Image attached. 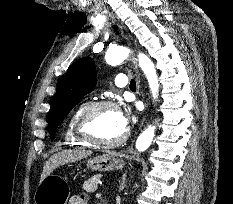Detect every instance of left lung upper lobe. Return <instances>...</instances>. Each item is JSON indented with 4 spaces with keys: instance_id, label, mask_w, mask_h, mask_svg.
Listing matches in <instances>:
<instances>
[{
    "instance_id": "left-lung-upper-lobe-1",
    "label": "left lung upper lobe",
    "mask_w": 233,
    "mask_h": 204,
    "mask_svg": "<svg viewBox=\"0 0 233 204\" xmlns=\"http://www.w3.org/2000/svg\"><path fill=\"white\" fill-rule=\"evenodd\" d=\"M95 84L96 68L90 57L81 58L68 69L57 87L49 112L51 140L63 119L77 105L79 99L93 90Z\"/></svg>"
}]
</instances>
